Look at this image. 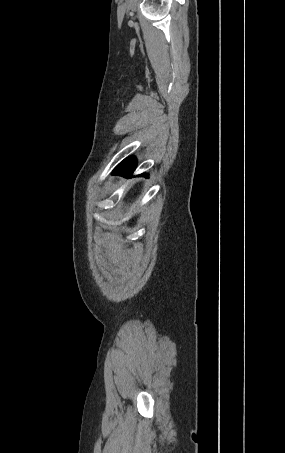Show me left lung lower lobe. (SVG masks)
Returning <instances> with one entry per match:
<instances>
[{"label": "left lung lower lobe", "instance_id": "1", "mask_svg": "<svg viewBox=\"0 0 285 453\" xmlns=\"http://www.w3.org/2000/svg\"><path fill=\"white\" fill-rule=\"evenodd\" d=\"M136 159L134 157H128L123 160L112 172L113 175H119L123 177H130L136 167ZM148 177V174H143Z\"/></svg>", "mask_w": 285, "mask_h": 453}]
</instances>
